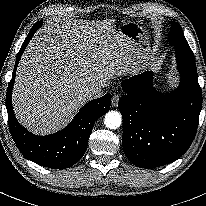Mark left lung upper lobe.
<instances>
[{
	"instance_id": "5c2ea615",
	"label": "left lung upper lobe",
	"mask_w": 206,
	"mask_h": 206,
	"mask_svg": "<svg viewBox=\"0 0 206 206\" xmlns=\"http://www.w3.org/2000/svg\"><path fill=\"white\" fill-rule=\"evenodd\" d=\"M171 25L172 28L169 36V41L171 45H174L176 51V59H179V57H181L187 60L190 64L195 65L193 52L184 37L181 26L176 22H172Z\"/></svg>"
}]
</instances>
